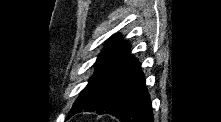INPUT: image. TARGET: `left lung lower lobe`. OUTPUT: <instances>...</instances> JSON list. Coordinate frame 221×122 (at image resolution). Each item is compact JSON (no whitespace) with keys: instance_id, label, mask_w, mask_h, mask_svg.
I'll use <instances>...</instances> for the list:
<instances>
[{"instance_id":"1","label":"left lung lower lobe","mask_w":221,"mask_h":122,"mask_svg":"<svg viewBox=\"0 0 221 122\" xmlns=\"http://www.w3.org/2000/svg\"><path fill=\"white\" fill-rule=\"evenodd\" d=\"M130 46L98 90L68 118L81 111L111 114L123 122H153L151 101L139 61Z\"/></svg>"}]
</instances>
